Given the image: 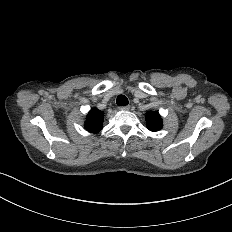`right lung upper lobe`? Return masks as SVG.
Wrapping results in <instances>:
<instances>
[{
    "label": "right lung upper lobe",
    "mask_w": 232,
    "mask_h": 232,
    "mask_svg": "<svg viewBox=\"0 0 232 232\" xmlns=\"http://www.w3.org/2000/svg\"><path fill=\"white\" fill-rule=\"evenodd\" d=\"M104 113L92 108L86 117L85 128L87 131L97 133L102 129Z\"/></svg>",
    "instance_id": "right-lung-upper-lobe-1"
}]
</instances>
